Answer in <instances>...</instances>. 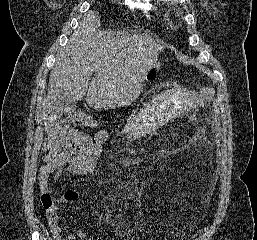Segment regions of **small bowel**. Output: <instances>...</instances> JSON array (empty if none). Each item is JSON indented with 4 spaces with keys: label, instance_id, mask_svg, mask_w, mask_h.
<instances>
[{
    "label": "small bowel",
    "instance_id": "c3829d8e",
    "mask_svg": "<svg viewBox=\"0 0 257 240\" xmlns=\"http://www.w3.org/2000/svg\"><path fill=\"white\" fill-rule=\"evenodd\" d=\"M109 138V131L99 129L93 138L88 137L76 128L55 127L50 130L43 143V162L38 174V183L41 194H51V183L58 181L64 175L90 176L94 178L100 153L103 145ZM80 192L74 189L65 190L58 201L65 204L76 203ZM47 222L54 240H94L87 237L83 231L75 235L64 237L56 216L47 211ZM116 235L122 240H134L133 231L125 224H115Z\"/></svg>",
    "mask_w": 257,
    "mask_h": 240
}]
</instances>
